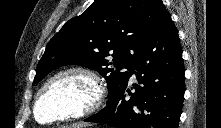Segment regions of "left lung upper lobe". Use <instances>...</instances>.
<instances>
[{
  "label": "left lung upper lobe",
  "mask_w": 221,
  "mask_h": 128,
  "mask_svg": "<svg viewBox=\"0 0 221 128\" xmlns=\"http://www.w3.org/2000/svg\"><path fill=\"white\" fill-rule=\"evenodd\" d=\"M168 15L162 0H95L49 41L33 84L61 66H85L106 79L108 104L127 84L137 51Z\"/></svg>",
  "instance_id": "left-lung-upper-lobe-1"
}]
</instances>
